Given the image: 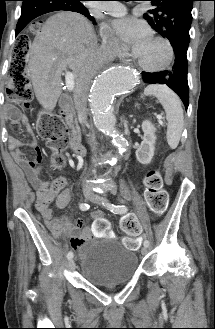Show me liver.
Masks as SVG:
<instances>
[{
    "label": "liver",
    "mask_w": 215,
    "mask_h": 329,
    "mask_svg": "<svg viewBox=\"0 0 215 329\" xmlns=\"http://www.w3.org/2000/svg\"><path fill=\"white\" fill-rule=\"evenodd\" d=\"M97 48L92 25L78 13L59 12L44 23L26 57L27 73L42 107L55 108L67 68L73 71L76 87L85 74L92 79L101 67L88 63Z\"/></svg>",
    "instance_id": "obj_1"
}]
</instances>
